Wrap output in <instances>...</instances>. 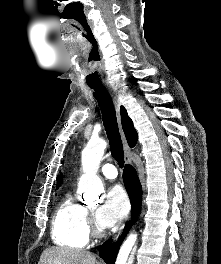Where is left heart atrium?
I'll use <instances>...</instances> for the list:
<instances>
[{
	"label": "left heart atrium",
	"instance_id": "39dd6f15",
	"mask_svg": "<svg viewBox=\"0 0 221 264\" xmlns=\"http://www.w3.org/2000/svg\"><path fill=\"white\" fill-rule=\"evenodd\" d=\"M129 212V201L124 190L119 186L112 187L97 211V219L101 226L109 227L126 217Z\"/></svg>",
	"mask_w": 221,
	"mask_h": 264
}]
</instances>
